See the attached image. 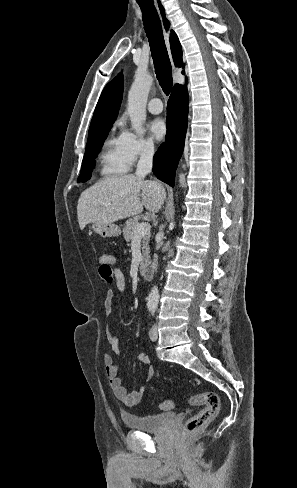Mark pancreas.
Listing matches in <instances>:
<instances>
[{"instance_id":"1","label":"pancreas","mask_w":297,"mask_h":488,"mask_svg":"<svg viewBox=\"0 0 297 488\" xmlns=\"http://www.w3.org/2000/svg\"><path fill=\"white\" fill-rule=\"evenodd\" d=\"M137 224H138V218L129 219L126 221L125 226L123 228V235H124V239L127 242L133 240L134 230ZM149 240H150V236L145 235L142 237V253H143V259L145 261H147L150 258L149 246H148Z\"/></svg>"}]
</instances>
